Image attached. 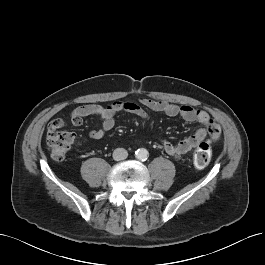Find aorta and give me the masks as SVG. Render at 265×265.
Returning <instances> with one entry per match:
<instances>
[{
    "mask_svg": "<svg viewBox=\"0 0 265 265\" xmlns=\"http://www.w3.org/2000/svg\"><path fill=\"white\" fill-rule=\"evenodd\" d=\"M135 157L138 160H141V161L147 160V158H148V151H147V149L140 148V149L136 150Z\"/></svg>",
    "mask_w": 265,
    "mask_h": 265,
    "instance_id": "aorta-1",
    "label": "aorta"
}]
</instances>
